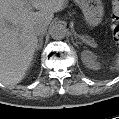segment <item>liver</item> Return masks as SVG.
Masks as SVG:
<instances>
[{
	"instance_id": "liver-1",
	"label": "liver",
	"mask_w": 119,
	"mask_h": 119,
	"mask_svg": "<svg viewBox=\"0 0 119 119\" xmlns=\"http://www.w3.org/2000/svg\"><path fill=\"white\" fill-rule=\"evenodd\" d=\"M65 6L66 0H0V82L16 85L26 77L38 50L35 27L48 26Z\"/></svg>"
}]
</instances>
